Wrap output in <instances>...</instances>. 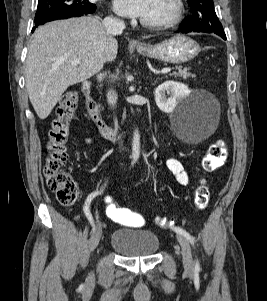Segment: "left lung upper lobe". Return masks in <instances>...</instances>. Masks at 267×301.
I'll return each mask as SVG.
<instances>
[{"label": "left lung upper lobe", "mask_w": 267, "mask_h": 301, "mask_svg": "<svg viewBox=\"0 0 267 301\" xmlns=\"http://www.w3.org/2000/svg\"><path fill=\"white\" fill-rule=\"evenodd\" d=\"M192 15L185 18L180 27L202 30L208 33L225 34L215 9L213 0H187Z\"/></svg>", "instance_id": "obj_1"}]
</instances>
